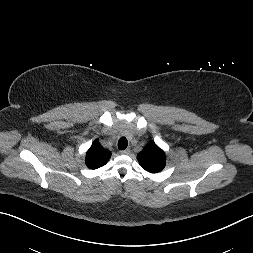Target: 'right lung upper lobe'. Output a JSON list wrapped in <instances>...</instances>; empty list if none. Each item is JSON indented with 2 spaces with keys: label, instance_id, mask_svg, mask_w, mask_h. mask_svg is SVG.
Here are the masks:
<instances>
[{
  "label": "right lung upper lobe",
  "instance_id": "cb5924a9",
  "mask_svg": "<svg viewBox=\"0 0 253 253\" xmlns=\"http://www.w3.org/2000/svg\"><path fill=\"white\" fill-rule=\"evenodd\" d=\"M111 156V152L102 147L98 140L92 143V146L86 154V165L90 169H97L104 166Z\"/></svg>",
  "mask_w": 253,
  "mask_h": 253
}]
</instances>
